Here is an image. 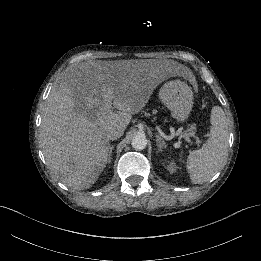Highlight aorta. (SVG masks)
<instances>
[{
	"label": "aorta",
	"instance_id": "aorta-1",
	"mask_svg": "<svg viewBox=\"0 0 261 261\" xmlns=\"http://www.w3.org/2000/svg\"><path fill=\"white\" fill-rule=\"evenodd\" d=\"M131 146L133 149L140 151L144 150L147 146V139L145 135H136L132 138Z\"/></svg>",
	"mask_w": 261,
	"mask_h": 261
}]
</instances>
